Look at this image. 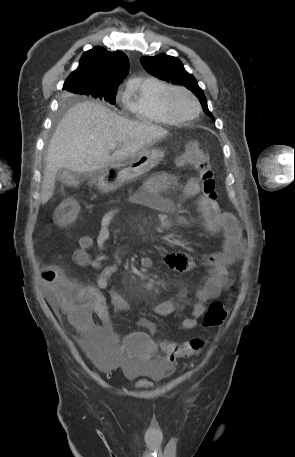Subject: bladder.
<instances>
[{"instance_id":"bladder-1","label":"bladder","mask_w":295,"mask_h":457,"mask_svg":"<svg viewBox=\"0 0 295 457\" xmlns=\"http://www.w3.org/2000/svg\"><path fill=\"white\" fill-rule=\"evenodd\" d=\"M78 347H86L85 355L90 356L95 365L108 371L116 366L114 356H117L115 338H78ZM170 364L163 359L146 361L145 365L139 362L126 361L122 367L123 375L131 381L144 379L149 382L159 383L171 373Z\"/></svg>"}]
</instances>
